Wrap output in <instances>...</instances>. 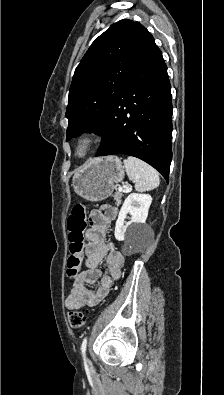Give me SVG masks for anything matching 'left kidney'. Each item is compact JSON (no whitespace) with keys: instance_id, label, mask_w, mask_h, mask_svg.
Returning a JSON list of instances; mask_svg holds the SVG:
<instances>
[{"instance_id":"5707ae66","label":"left kidney","mask_w":224,"mask_h":395,"mask_svg":"<svg viewBox=\"0 0 224 395\" xmlns=\"http://www.w3.org/2000/svg\"><path fill=\"white\" fill-rule=\"evenodd\" d=\"M152 197L149 194L131 193L124 201L115 226V238L123 241L128 232L135 238H141L145 232V224ZM127 214L131 215V220L125 222Z\"/></svg>"}]
</instances>
